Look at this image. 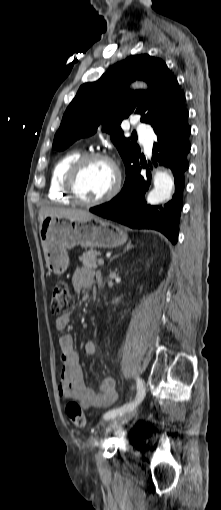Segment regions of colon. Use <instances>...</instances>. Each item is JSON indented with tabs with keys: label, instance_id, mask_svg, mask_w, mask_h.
I'll return each instance as SVG.
<instances>
[{
	"label": "colon",
	"instance_id": "obj_1",
	"mask_svg": "<svg viewBox=\"0 0 221 510\" xmlns=\"http://www.w3.org/2000/svg\"><path fill=\"white\" fill-rule=\"evenodd\" d=\"M74 303L75 294L72 288L66 282L58 281L52 292L51 312L53 316H62L74 306ZM66 413L75 427L80 429L87 427L86 416L76 401L68 402Z\"/></svg>",
	"mask_w": 221,
	"mask_h": 510
}]
</instances>
